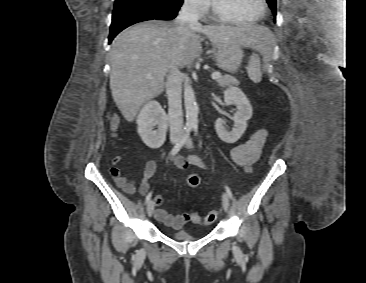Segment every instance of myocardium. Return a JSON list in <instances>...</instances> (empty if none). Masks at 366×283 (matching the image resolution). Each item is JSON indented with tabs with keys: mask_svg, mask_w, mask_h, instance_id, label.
I'll return each mask as SVG.
<instances>
[{
	"mask_svg": "<svg viewBox=\"0 0 366 283\" xmlns=\"http://www.w3.org/2000/svg\"><path fill=\"white\" fill-rule=\"evenodd\" d=\"M260 3H261V11H260L259 15H257L256 17H254L252 19H249V20H240V19H237V18H234V17H231V16L225 14L223 11H221L219 9L215 0H212V12H213V16L220 21H223L226 23H231V24H236V25H249V24L258 22L266 15L267 2H266V0H260Z\"/></svg>",
	"mask_w": 366,
	"mask_h": 283,
	"instance_id": "f54148a6",
	"label": "myocardium"
}]
</instances>
